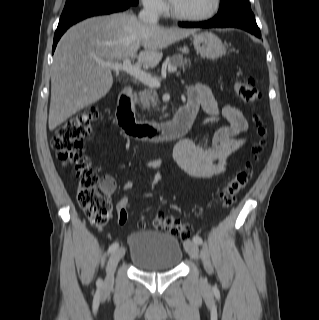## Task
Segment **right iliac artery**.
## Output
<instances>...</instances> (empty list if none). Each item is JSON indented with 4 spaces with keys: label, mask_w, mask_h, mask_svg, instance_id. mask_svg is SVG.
<instances>
[{
    "label": "right iliac artery",
    "mask_w": 319,
    "mask_h": 320,
    "mask_svg": "<svg viewBox=\"0 0 319 320\" xmlns=\"http://www.w3.org/2000/svg\"><path fill=\"white\" fill-rule=\"evenodd\" d=\"M119 247V244L117 242H114L112 243L110 246H109V249H108V253H112L113 251H115L117 248ZM101 280L99 279L97 281V285L98 286H101Z\"/></svg>",
    "instance_id": "right-iliac-artery-1"
}]
</instances>
